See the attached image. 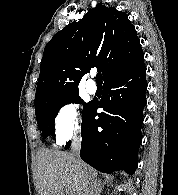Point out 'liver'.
<instances>
[{
    "mask_svg": "<svg viewBox=\"0 0 178 195\" xmlns=\"http://www.w3.org/2000/svg\"><path fill=\"white\" fill-rule=\"evenodd\" d=\"M98 172L74 154L41 149L37 153L39 195H94Z\"/></svg>",
    "mask_w": 178,
    "mask_h": 195,
    "instance_id": "1",
    "label": "liver"
}]
</instances>
